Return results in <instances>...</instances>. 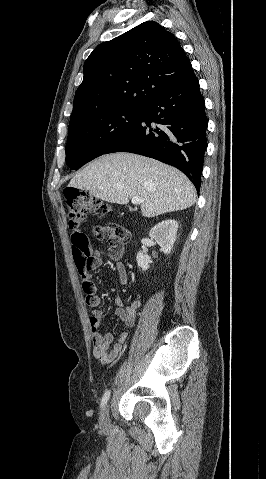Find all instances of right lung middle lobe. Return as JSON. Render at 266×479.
Instances as JSON below:
<instances>
[{
  "label": "right lung middle lobe",
  "instance_id": "right-lung-middle-lobe-1",
  "mask_svg": "<svg viewBox=\"0 0 266 479\" xmlns=\"http://www.w3.org/2000/svg\"><path fill=\"white\" fill-rule=\"evenodd\" d=\"M143 107L121 108L70 121L66 163L79 169L99 157L141 117Z\"/></svg>",
  "mask_w": 266,
  "mask_h": 479
}]
</instances>
